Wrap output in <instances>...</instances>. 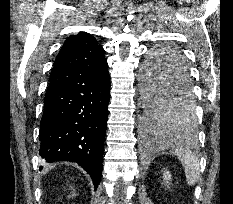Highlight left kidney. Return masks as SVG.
<instances>
[{"instance_id": "1", "label": "left kidney", "mask_w": 233, "mask_h": 204, "mask_svg": "<svg viewBox=\"0 0 233 204\" xmlns=\"http://www.w3.org/2000/svg\"><path fill=\"white\" fill-rule=\"evenodd\" d=\"M163 177L165 178L166 181H169L171 179V175L169 171L166 170L163 174Z\"/></svg>"}]
</instances>
